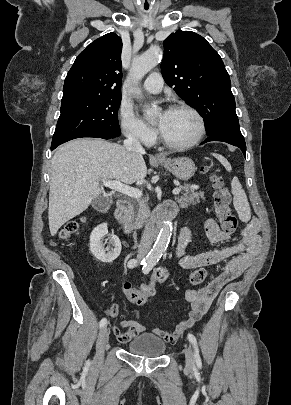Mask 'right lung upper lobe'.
Returning a JSON list of instances; mask_svg holds the SVG:
<instances>
[{"label": "right lung upper lobe", "instance_id": "obj_1", "mask_svg": "<svg viewBox=\"0 0 291 405\" xmlns=\"http://www.w3.org/2000/svg\"><path fill=\"white\" fill-rule=\"evenodd\" d=\"M121 50L122 40L113 32L89 44L65 78L62 102L121 96Z\"/></svg>", "mask_w": 291, "mask_h": 405}]
</instances>
